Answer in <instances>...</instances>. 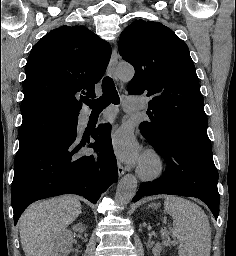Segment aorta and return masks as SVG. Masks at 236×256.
<instances>
[{
	"mask_svg": "<svg viewBox=\"0 0 236 256\" xmlns=\"http://www.w3.org/2000/svg\"><path fill=\"white\" fill-rule=\"evenodd\" d=\"M116 74L122 81H130L134 76V69L131 65L120 64ZM137 192V179L134 175H125L118 183L115 199L118 203H128Z\"/></svg>",
	"mask_w": 236,
	"mask_h": 256,
	"instance_id": "obj_1",
	"label": "aorta"
}]
</instances>
